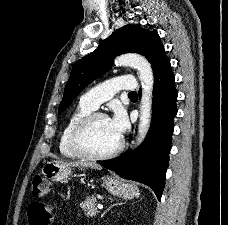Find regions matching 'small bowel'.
Masks as SVG:
<instances>
[{
  "label": "small bowel",
  "mask_w": 228,
  "mask_h": 225,
  "mask_svg": "<svg viewBox=\"0 0 228 225\" xmlns=\"http://www.w3.org/2000/svg\"><path fill=\"white\" fill-rule=\"evenodd\" d=\"M57 210L52 204H31L28 207L29 225H50V212ZM39 212V213H34Z\"/></svg>",
  "instance_id": "1"
}]
</instances>
